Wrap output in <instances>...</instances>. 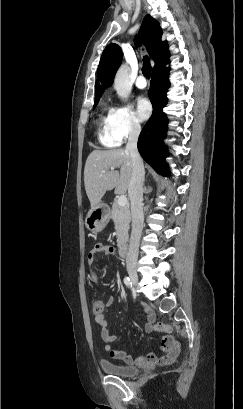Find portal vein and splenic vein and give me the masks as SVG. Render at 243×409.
<instances>
[{
	"label": "portal vein and splenic vein",
	"mask_w": 243,
	"mask_h": 409,
	"mask_svg": "<svg viewBox=\"0 0 243 409\" xmlns=\"http://www.w3.org/2000/svg\"><path fill=\"white\" fill-rule=\"evenodd\" d=\"M117 203H118L119 206H125L128 203L126 196L125 195H120L118 197Z\"/></svg>",
	"instance_id": "18ae733b"
}]
</instances>
